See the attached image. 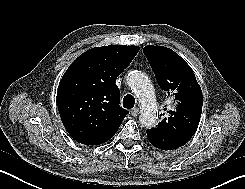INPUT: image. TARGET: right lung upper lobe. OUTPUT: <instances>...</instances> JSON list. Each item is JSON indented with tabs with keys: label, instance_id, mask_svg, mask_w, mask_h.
I'll return each instance as SVG.
<instances>
[{
	"label": "right lung upper lobe",
	"instance_id": "1",
	"mask_svg": "<svg viewBox=\"0 0 245 189\" xmlns=\"http://www.w3.org/2000/svg\"><path fill=\"white\" fill-rule=\"evenodd\" d=\"M138 46L95 47L80 55L63 75L58 110L68 133L79 143L99 145L117 132L128 111L120 107L117 77Z\"/></svg>",
	"mask_w": 245,
	"mask_h": 189
}]
</instances>
